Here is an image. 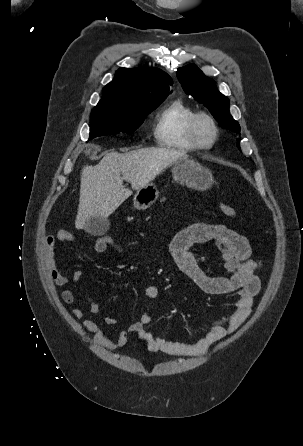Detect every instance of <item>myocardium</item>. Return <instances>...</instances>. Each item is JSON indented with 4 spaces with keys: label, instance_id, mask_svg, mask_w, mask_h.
Here are the masks:
<instances>
[{
    "label": "myocardium",
    "instance_id": "1",
    "mask_svg": "<svg viewBox=\"0 0 303 446\" xmlns=\"http://www.w3.org/2000/svg\"><path fill=\"white\" fill-rule=\"evenodd\" d=\"M201 120H206L210 124L213 130L212 140L207 144L203 143L198 136L197 126ZM187 133L191 142L198 149H203V150L211 149L216 144L219 138V128L216 120L212 115L204 111H198L192 115L188 123Z\"/></svg>",
    "mask_w": 303,
    "mask_h": 446
}]
</instances>
